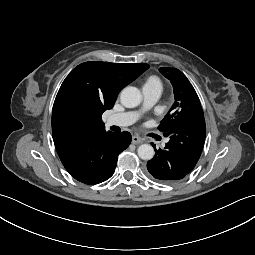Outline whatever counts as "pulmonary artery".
<instances>
[{
	"label": "pulmonary artery",
	"instance_id": "e3ab8cb5",
	"mask_svg": "<svg viewBox=\"0 0 255 255\" xmlns=\"http://www.w3.org/2000/svg\"><path fill=\"white\" fill-rule=\"evenodd\" d=\"M162 89L159 87H144L143 95H144V108H150L157 100L160 98ZM137 112H126L120 114H114L107 118V125L112 126H128L133 124L138 118Z\"/></svg>",
	"mask_w": 255,
	"mask_h": 255
}]
</instances>
